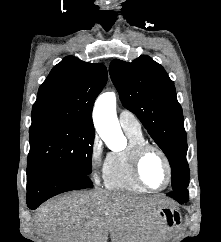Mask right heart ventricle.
I'll return each instance as SVG.
<instances>
[{
    "mask_svg": "<svg viewBox=\"0 0 221 242\" xmlns=\"http://www.w3.org/2000/svg\"><path fill=\"white\" fill-rule=\"evenodd\" d=\"M129 139L128 146L120 151L107 154L103 169V180L106 188L128 192L142 193L147 190L134 178L131 168V154L133 149L146 142L141 131L124 129Z\"/></svg>",
    "mask_w": 221,
    "mask_h": 242,
    "instance_id": "1",
    "label": "right heart ventricle"
}]
</instances>
